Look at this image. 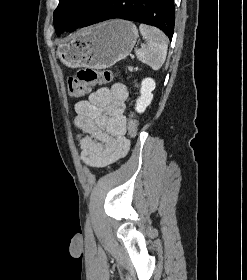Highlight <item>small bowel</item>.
I'll use <instances>...</instances> for the list:
<instances>
[{
    "instance_id": "c3829d8e",
    "label": "small bowel",
    "mask_w": 247,
    "mask_h": 280,
    "mask_svg": "<svg viewBox=\"0 0 247 280\" xmlns=\"http://www.w3.org/2000/svg\"><path fill=\"white\" fill-rule=\"evenodd\" d=\"M128 89L121 82L101 87L86 100L75 104V125L82 132L81 159L92 167H105L125 156L129 140L125 137V101Z\"/></svg>"
}]
</instances>
